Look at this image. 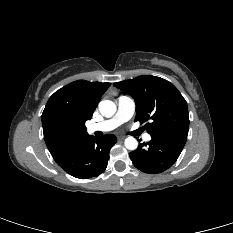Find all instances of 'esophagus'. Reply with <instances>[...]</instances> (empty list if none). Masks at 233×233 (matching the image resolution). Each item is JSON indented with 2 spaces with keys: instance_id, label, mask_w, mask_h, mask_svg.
Here are the masks:
<instances>
[{
  "instance_id": "esophagus-1",
  "label": "esophagus",
  "mask_w": 233,
  "mask_h": 233,
  "mask_svg": "<svg viewBox=\"0 0 233 233\" xmlns=\"http://www.w3.org/2000/svg\"><path fill=\"white\" fill-rule=\"evenodd\" d=\"M124 139H125L124 136H119V137H118V140H120V141H121V140H124Z\"/></svg>"
}]
</instances>
